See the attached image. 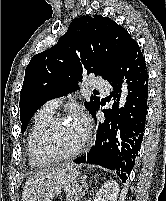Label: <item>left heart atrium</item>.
I'll return each instance as SVG.
<instances>
[{"label": "left heart atrium", "instance_id": "39dd6f15", "mask_svg": "<svg viewBox=\"0 0 166 201\" xmlns=\"http://www.w3.org/2000/svg\"><path fill=\"white\" fill-rule=\"evenodd\" d=\"M72 123L78 130L82 142L85 141L90 131V121L87 115L82 112H76L72 116Z\"/></svg>", "mask_w": 166, "mask_h": 201}]
</instances>
